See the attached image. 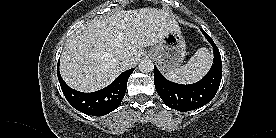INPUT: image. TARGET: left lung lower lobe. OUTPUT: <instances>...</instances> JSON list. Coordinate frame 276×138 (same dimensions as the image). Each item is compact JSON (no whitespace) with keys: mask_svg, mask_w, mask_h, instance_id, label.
<instances>
[{"mask_svg":"<svg viewBox=\"0 0 276 138\" xmlns=\"http://www.w3.org/2000/svg\"><path fill=\"white\" fill-rule=\"evenodd\" d=\"M206 39L211 43L214 60L209 72L197 83L182 85L168 81L154 67V83L158 95L168 107L186 112L197 109L209 103L215 96L222 78V62L217 46L210 36L201 29Z\"/></svg>","mask_w":276,"mask_h":138,"instance_id":"1","label":"left lung lower lobe"}]
</instances>
